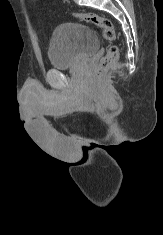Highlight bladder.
<instances>
[{
    "label": "bladder",
    "mask_w": 163,
    "mask_h": 235,
    "mask_svg": "<svg viewBox=\"0 0 163 235\" xmlns=\"http://www.w3.org/2000/svg\"><path fill=\"white\" fill-rule=\"evenodd\" d=\"M98 48V37L89 26L65 23L54 29L49 41L48 57L53 68L66 69L75 66Z\"/></svg>",
    "instance_id": "1"
}]
</instances>
